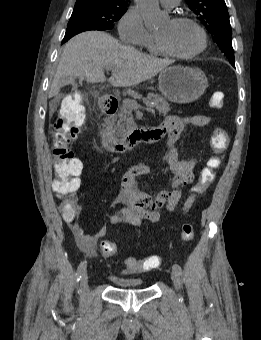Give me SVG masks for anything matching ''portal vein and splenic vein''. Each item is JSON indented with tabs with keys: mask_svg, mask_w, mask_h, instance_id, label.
<instances>
[{
	"mask_svg": "<svg viewBox=\"0 0 261 340\" xmlns=\"http://www.w3.org/2000/svg\"><path fill=\"white\" fill-rule=\"evenodd\" d=\"M105 68H106L107 71H113L114 70V68L112 66H106ZM126 101H127V104L134 110L145 109V110L152 112V113L155 112L154 106L149 105L147 107H143L140 104H138L137 101H135L134 99H129V98L126 99Z\"/></svg>",
	"mask_w": 261,
	"mask_h": 340,
	"instance_id": "1",
	"label": "portal vein and splenic vein"
}]
</instances>
